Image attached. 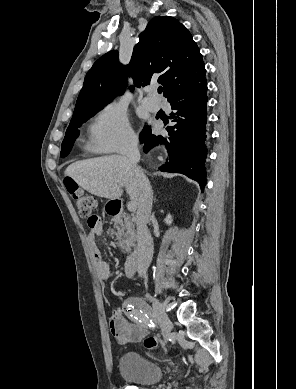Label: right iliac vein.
Here are the masks:
<instances>
[{"label":"right iliac vein","instance_id":"obj_1","mask_svg":"<svg viewBox=\"0 0 296 389\" xmlns=\"http://www.w3.org/2000/svg\"><path fill=\"white\" fill-rule=\"evenodd\" d=\"M151 302H152V308H153V311L151 314H152L154 320L160 325V327L163 331L164 337L167 341L169 336H170L172 323H171L168 315L165 313L163 305L155 298H151Z\"/></svg>","mask_w":296,"mask_h":389}]
</instances>
